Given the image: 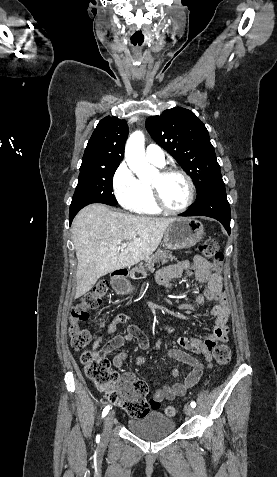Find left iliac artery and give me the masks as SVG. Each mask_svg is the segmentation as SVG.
<instances>
[{"mask_svg":"<svg viewBox=\"0 0 277 477\" xmlns=\"http://www.w3.org/2000/svg\"><path fill=\"white\" fill-rule=\"evenodd\" d=\"M191 407L195 408L196 407V403L194 401L191 402Z\"/></svg>","mask_w":277,"mask_h":477,"instance_id":"obj_1","label":"left iliac artery"}]
</instances>
